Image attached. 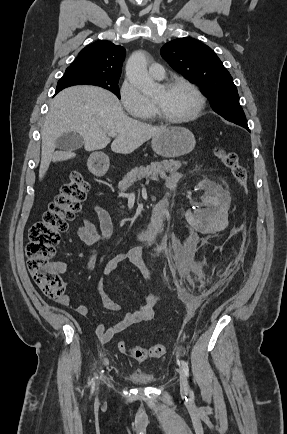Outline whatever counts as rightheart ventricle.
Segmentation results:
<instances>
[{"label": "right heart ventricle", "mask_w": 287, "mask_h": 434, "mask_svg": "<svg viewBox=\"0 0 287 434\" xmlns=\"http://www.w3.org/2000/svg\"><path fill=\"white\" fill-rule=\"evenodd\" d=\"M152 115H153V111L151 109L147 114H145V115L142 116V119L149 120V119L152 118Z\"/></svg>", "instance_id": "e07e8e85"}]
</instances>
